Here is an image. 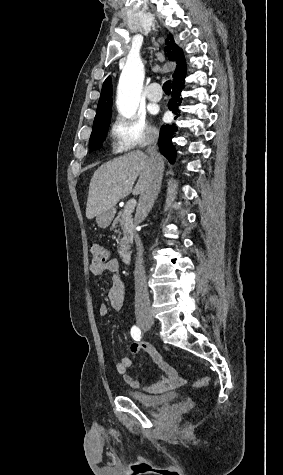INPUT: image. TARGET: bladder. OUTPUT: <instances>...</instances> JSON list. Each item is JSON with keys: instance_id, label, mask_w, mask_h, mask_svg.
I'll use <instances>...</instances> for the list:
<instances>
[{"instance_id": "bladder-1", "label": "bladder", "mask_w": 283, "mask_h": 475, "mask_svg": "<svg viewBox=\"0 0 283 475\" xmlns=\"http://www.w3.org/2000/svg\"><path fill=\"white\" fill-rule=\"evenodd\" d=\"M126 395L129 399L146 409H151L161 404H172L177 402L179 399V394L173 392L165 393L159 396H152L141 391L129 389L127 390Z\"/></svg>"}]
</instances>
